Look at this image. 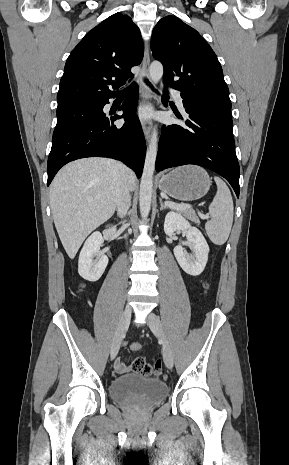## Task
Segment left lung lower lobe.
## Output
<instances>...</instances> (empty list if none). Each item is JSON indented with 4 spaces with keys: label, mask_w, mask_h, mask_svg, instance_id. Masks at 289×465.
Listing matches in <instances>:
<instances>
[{
    "label": "left lung lower lobe",
    "mask_w": 289,
    "mask_h": 465,
    "mask_svg": "<svg viewBox=\"0 0 289 465\" xmlns=\"http://www.w3.org/2000/svg\"><path fill=\"white\" fill-rule=\"evenodd\" d=\"M181 97L188 114L187 127H162L156 171L186 164L203 166L227 179L239 197L240 169L230 109L209 105L182 92Z\"/></svg>",
    "instance_id": "0a47b994"
}]
</instances>
